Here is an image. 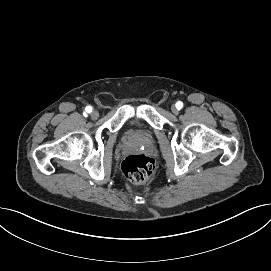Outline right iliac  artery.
I'll list each match as a JSON object with an SVG mask.
<instances>
[{
    "label": "right iliac artery",
    "instance_id": "1",
    "mask_svg": "<svg viewBox=\"0 0 271 271\" xmlns=\"http://www.w3.org/2000/svg\"><path fill=\"white\" fill-rule=\"evenodd\" d=\"M85 110H86L87 113H90V112H92V107L91 106H87L85 108Z\"/></svg>",
    "mask_w": 271,
    "mask_h": 271
}]
</instances>
